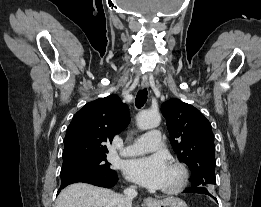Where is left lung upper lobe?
I'll use <instances>...</instances> for the list:
<instances>
[{
    "label": "left lung upper lobe",
    "instance_id": "5c2ea615",
    "mask_svg": "<svg viewBox=\"0 0 261 207\" xmlns=\"http://www.w3.org/2000/svg\"><path fill=\"white\" fill-rule=\"evenodd\" d=\"M161 112L166 118L175 153L191 170L192 185H215V145L210 122L198 109L179 99L164 102Z\"/></svg>",
    "mask_w": 261,
    "mask_h": 207
}]
</instances>
